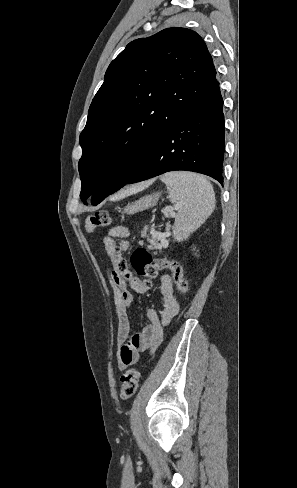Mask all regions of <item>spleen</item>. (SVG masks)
I'll return each mask as SVG.
<instances>
[{
	"label": "spleen",
	"mask_w": 297,
	"mask_h": 488,
	"mask_svg": "<svg viewBox=\"0 0 297 488\" xmlns=\"http://www.w3.org/2000/svg\"><path fill=\"white\" fill-rule=\"evenodd\" d=\"M161 180L169 189L170 201L178 204L172 230L175 239L182 241L213 212V187L203 176L189 172H169Z\"/></svg>",
	"instance_id": "3e777b00"
}]
</instances>
